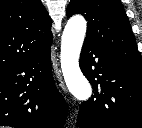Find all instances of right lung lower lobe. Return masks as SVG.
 <instances>
[{
	"instance_id": "obj_1",
	"label": "right lung lower lobe",
	"mask_w": 142,
	"mask_h": 128,
	"mask_svg": "<svg viewBox=\"0 0 142 128\" xmlns=\"http://www.w3.org/2000/svg\"><path fill=\"white\" fill-rule=\"evenodd\" d=\"M50 46L0 74L1 126L63 127L67 107L54 83Z\"/></svg>"
}]
</instances>
